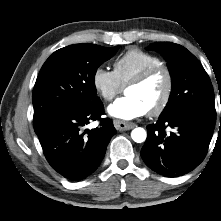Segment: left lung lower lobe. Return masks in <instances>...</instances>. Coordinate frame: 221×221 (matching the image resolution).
<instances>
[{"label": "left lung lower lobe", "mask_w": 221, "mask_h": 221, "mask_svg": "<svg viewBox=\"0 0 221 221\" xmlns=\"http://www.w3.org/2000/svg\"><path fill=\"white\" fill-rule=\"evenodd\" d=\"M215 120L193 111L159 117L148 125L147 139L141 149L145 164L158 174L175 177L195 169L205 158ZM176 132L166 134V127Z\"/></svg>", "instance_id": "1"}]
</instances>
